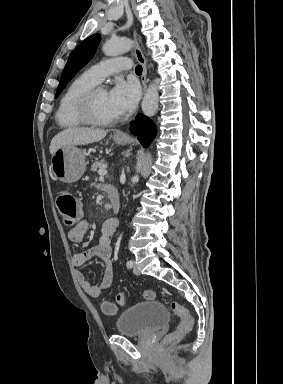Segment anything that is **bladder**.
Segmentation results:
<instances>
[{
	"mask_svg": "<svg viewBox=\"0 0 283 384\" xmlns=\"http://www.w3.org/2000/svg\"><path fill=\"white\" fill-rule=\"evenodd\" d=\"M170 314L164 303L145 301L123 309L115 323V331L126 337H140L153 333L169 322Z\"/></svg>",
	"mask_w": 283,
	"mask_h": 384,
	"instance_id": "bladder-1",
	"label": "bladder"
}]
</instances>
